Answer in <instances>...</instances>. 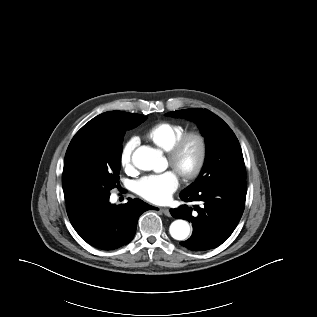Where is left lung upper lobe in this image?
<instances>
[{
    "mask_svg": "<svg viewBox=\"0 0 317 317\" xmlns=\"http://www.w3.org/2000/svg\"><path fill=\"white\" fill-rule=\"evenodd\" d=\"M195 122L205 136L207 153L203 169L194 183L181 193H195L217 183L246 181L239 141L230 127L206 109H184L166 114Z\"/></svg>",
    "mask_w": 317,
    "mask_h": 317,
    "instance_id": "1",
    "label": "left lung upper lobe"
}]
</instances>
